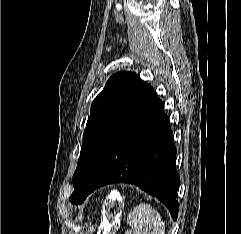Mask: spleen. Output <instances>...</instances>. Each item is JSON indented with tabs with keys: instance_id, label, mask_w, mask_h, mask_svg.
I'll use <instances>...</instances> for the list:
<instances>
[{
	"instance_id": "1",
	"label": "spleen",
	"mask_w": 241,
	"mask_h": 234,
	"mask_svg": "<svg viewBox=\"0 0 241 234\" xmlns=\"http://www.w3.org/2000/svg\"><path fill=\"white\" fill-rule=\"evenodd\" d=\"M131 227L125 234H165L161 215L150 204L140 203L127 217Z\"/></svg>"
}]
</instances>
